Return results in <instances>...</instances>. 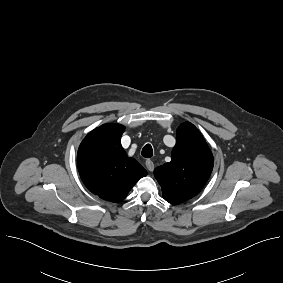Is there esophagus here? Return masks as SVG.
Listing matches in <instances>:
<instances>
[{
	"label": "esophagus",
	"instance_id": "esophagus-1",
	"mask_svg": "<svg viewBox=\"0 0 283 283\" xmlns=\"http://www.w3.org/2000/svg\"><path fill=\"white\" fill-rule=\"evenodd\" d=\"M145 165H146V168H147L148 171H150V172L153 171L154 163H153L152 160H150V159L146 160Z\"/></svg>",
	"mask_w": 283,
	"mask_h": 283
}]
</instances>
